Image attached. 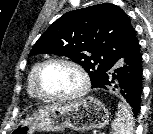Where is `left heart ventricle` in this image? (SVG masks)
Wrapping results in <instances>:
<instances>
[{"instance_id": "b2bd125f", "label": "left heart ventricle", "mask_w": 153, "mask_h": 134, "mask_svg": "<svg viewBox=\"0 0 153 134\" xmlns=\"http://www.w3.org/2000/svg\"><path fill=\"white\" fill-rule=\"evenodd\" d=\"M80 85L79 74L64 64L49 65L41 77L42 89L50 95H68L77 91Z\"/></svg>"}]
</instances>
